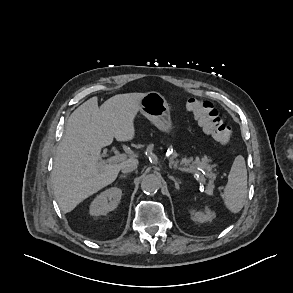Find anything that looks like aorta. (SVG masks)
I'll return each instance as SVG.
<instances>
[{"label":"aorta","instance_id":"1","mask_svg":"<svg viewBox=\"0 0 293 293\" xmlns=\"http://www.w3.org/2000/svg\"><path fill=\"white\" fill-rule=\"evenodd\" d=\"M161 187V181L158 176L154 174L146 175L141 181V189L144 193H156Z\"/></svg>","mask_w":293,"mask_h":293}]
</instances>
